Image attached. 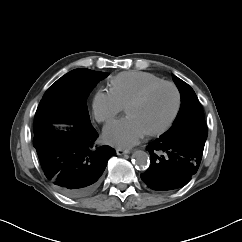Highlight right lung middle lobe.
Segmentation results:
<instances>
[{
	"instance_id": "dd1d6c3e",
	"label": "right lung middle lobe",
	"mask_w": 242,
	"mask_h": 242,
	"mask_svg": "<svg viewBox=\"0 0 242 242\" xmlns=\"http://www.w3.org/2000/svg\"><path fill=\"white\" fill-rule=\"evenodd\" d=\"M108 73L75 69L58 79L45 92L37 108L34 131L53 123L90 124L86 98Z\"/></svg>"
}]
</instances>
